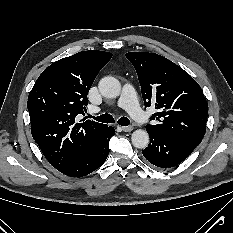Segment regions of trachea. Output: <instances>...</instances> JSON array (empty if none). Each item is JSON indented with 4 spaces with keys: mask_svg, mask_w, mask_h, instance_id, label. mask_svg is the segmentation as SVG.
Here are the masks:
<instances>
[{
    "mask_svg": "<svg viewBox=\"0 0 233 233\" xmlns=\"http://www.w3.org/2000/svg\"><path fill=\"white\" fill-rule=\"evenodd\" d=\"M91 118L102 123H114L115 121L113 116L110 114H103L97 117L91 116ZM117 123L121 126H128L130 124V120L127 117H121L118 119Z\"/></svg>",
    "mask_w": 233,
    "mask_h": 233,
    "instance_id": "3493384b",
    "label": "trachea"
}]
</instances>
